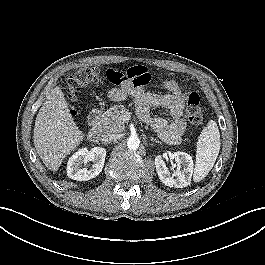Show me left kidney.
<instances>
[{"mask_svg":"<svg viewBox=\"0 0 265 265\" xmlns=\"http://www.w3.org/2000/svg\"><path fill=\"white\" fill-rule=\"evenodd\" d=\"M173 158L177 163L176 171L171 176L163 158L158 155L155 158L156 171L162 183L169 187L183 188L187 187L191 182L193 174L192 157L185 152H174ZM183 167V168H182Z\"/></svg>","mask_w":265,"mask_h":265,"instance_id":"obj_1","label":"left kidney"}]
</instances>
